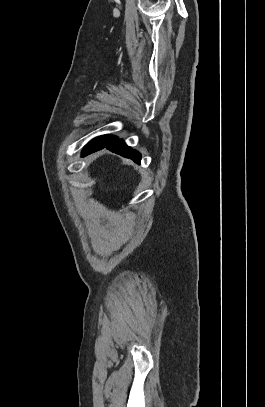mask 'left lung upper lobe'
I'll return each mask as SVG.
<instances>
[{
    "mask_svg": "<svg viewBox=\"0 0 265 407\" xmlns=\"http://www.w3.org/2000/svg\"><path fill=\"white\" fill-rule=\"evenodd\" d=\"M114 136H108V135H103V136H99L94 138L93 140H91L84 148V152L87 151L88 149H90L93 146L99 145V144H103L106 143L108 141H110L111 139H113Z\"/></svg>",
    "mask_w": 265,
    "mask_h": 407,
    "instance_id": "1",
    "label": "left lung upper lobe"
}]
</instances>
